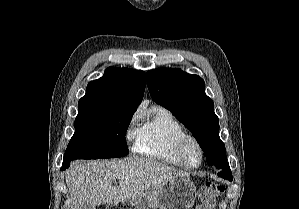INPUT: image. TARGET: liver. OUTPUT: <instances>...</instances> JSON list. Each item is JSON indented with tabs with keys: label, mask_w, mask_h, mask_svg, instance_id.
Here are the masks:
<instances>
[{
	"label": "liver",
	"mask_w": 299,
	"mask_h": 209,
	"mask_svg": "<svg viewBox=\"0 0 299 209\" xmlns=\"http://www.w3.org/2000/svg\"><path fill=\"white\" fill-rule=\"evenodd\" d=\"M189 174L151 158L128 157L118 161L75 162L66 173L72 198L70 209L134 201L163 183ZM118 179L119 185L112 183Z\"/></svg>",
	"instance_id": "1"
}]
</instances>
